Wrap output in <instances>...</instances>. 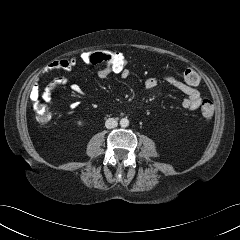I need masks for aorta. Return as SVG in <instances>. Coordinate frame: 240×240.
I'll return each mask as SVG.
<instances>
[{"mask_svg":"<svg viewBox=\"0 0 240 240\" xmlns=\"http://www.w3.org/2000/svg\"><path fill=\"white\" fill-rule=\"evenodd\" d=\"M120 125H121V127H128L129 126V120L127 119V118H122L121 120H120Z\"/></svg>","mask_w":240,"mask_h":240,"instance_id":"762f6f07","label":"aorta"}]
</instances>
